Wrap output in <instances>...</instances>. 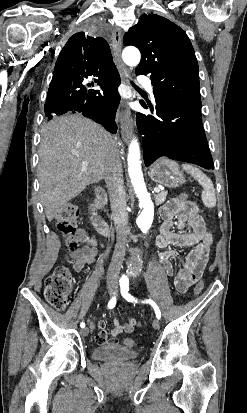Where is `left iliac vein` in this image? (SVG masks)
<instances>
[{
  "label": "left iliac vein",
  "mask_w": 247,
  "mask_h": 413,
  "mask_svg": "<svg viewBox=\"0 0 247 413\" xmlns=\"http://www.w3.org/2000/svg\"><path fill=\"white\" fill-rule=\"evenodd\" d=\"M152 326H153L155 329H159V328H160V321H159V319H155V320L153 321V323H152Z\"/></svg>",
  "instance_id": "left-iliac-vein-1"
}]
</instances>
